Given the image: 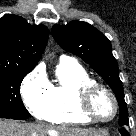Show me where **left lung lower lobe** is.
Here are the masks:
<instances>
[{"mask_svg": "<svg viewBox=\"0 0 136 136\" xmlns=\"http://www.w3.org/2000/svg\"><path fill=\"white\" fill-rule=\"evenodd\" d=\"M119 131L123 136H128V133L125 129H120Z\"/></svg>", "mask_w": 136, "mask_h": 136, "instance_id": "left-lung-lower-lobe-1", "label": "left lung lower lobe"}]
</instances>
